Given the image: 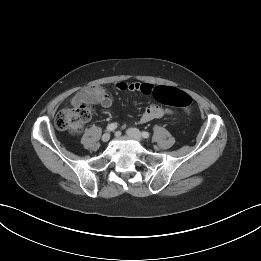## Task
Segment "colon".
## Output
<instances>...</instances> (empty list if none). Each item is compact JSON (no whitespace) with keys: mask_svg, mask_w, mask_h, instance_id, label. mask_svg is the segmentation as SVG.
Returning <instances> with one entry per match:
<instances>
[{"mask_svg":"<svg viewBox=\"0 0 261 261\" xmlns=\"http://www.w3.org/2000/svg\"><path fill=\"white\" fill-rule=\"evenodd\" d=\"M155 99L165 105L189 111L192 98L184 91L173 87H157L153 91ZM94 108L89 104H79L64 108L55 117V126L71 134L81 132L84 124L92 117Z\"/></svg>","mask_w":261,"mask_h":261,"instance_id":"5ec220e1","label":"colon"}]
</instances>
